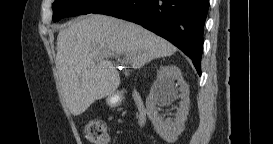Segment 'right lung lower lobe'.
Listing matches in <instances>:
<instances>
[{
	"label": "right lung lower lobe",
	"mask_w": 273,
	"mask_h": 144,
	"mask_svg": "<svg viewBox=\"0 0 273 144\" xmlns=\"http://www.w3.org/2000/svg\"><path fill=\"white\" fill-rule=\"evenodd\" d=\"M209 0H109L91 13L137 23L183 51L201 75L203 31Z\"/></svg>",
	"instance_id": "right-lung-lower-lobe-1"
}]
</instances>
